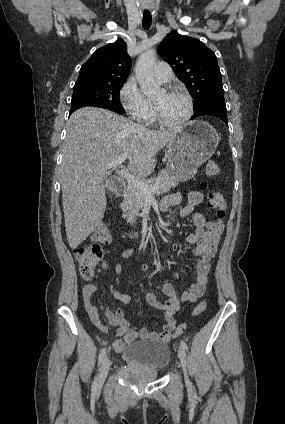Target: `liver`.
Masks as SVG:
<instances>
[{"mask_svg": "<svg viewBox=\"0 0 285 424\" xmlns=\"http://www.w3.org/2000/svg\"><path fill=\"white\" fill-rule=\"evenodd\" d=\"M179 131H152L96 107H84L71 115L62 147L60 181L67 240L72 249L104 216L107 199L103 178L108 165L126 155L128 170L145 178L154 171L157 153Z\"/></svg>", "mask_w": 285, "mask_h": 424, "instance_id": "1", "label": "liver"}]
</instances>
